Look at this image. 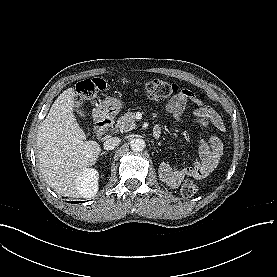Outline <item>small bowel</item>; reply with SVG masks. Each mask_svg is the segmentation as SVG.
Listing matches in <instances>:
<instances>
[{
    "label": "small bowel",
    "instance_id": "c3829d8e",
    "mask_svg": "<svg viewBox=\"0 0 277 277\" xmlns=\"http://www.w3.org/2000/svg\"><path fill=\"white\" fill-rule=\"evenodd\" d=\"M187 103L195 105L192 114L195 119L202 124H208L215 127L218 131L226 130L225 124L221 117L213 110L203 105V102L192 91L185 89L180 91L166 104L167 111L175 120H181L184 117V112ZM201 154L205 161L196 164H187L184 166L186 175L196 177H207L212 172L211 158H219L223 151V145L216 138H210L200 145Z\"/></svg>",
    "mask_w": 277,
    "mask_h": 277
}]
</instances>
